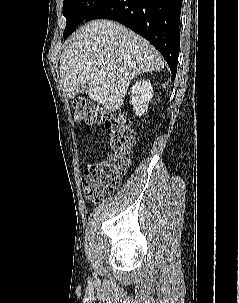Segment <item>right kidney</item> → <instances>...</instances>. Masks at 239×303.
<instances>
[{"label": "right kidney", "mask_w": 239, "mask_h": 303, "mask_svg": "<svg viewBox=\"0 0 239 303\" xmlns=\"http://www.w3.org/2000/svg\"><path fill=\"white\" fill-rule=\"evenodd\" d=\"M153 87L148 80L136 82L132 86V104L135 114L141 117L147 112L148 104L153 97Z\"/></svg>", "instance_id": "1"}]
</instances>
